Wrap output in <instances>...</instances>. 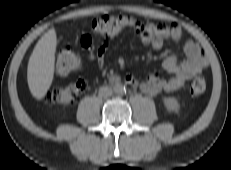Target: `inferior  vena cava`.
<instances>
[{
    "mask_svg": "<svg viewBox=\"0 0 231 170\" xmlns=\"http://www.w3.org/2000/svg\"><path fill=\"white\" fill-rule=\"evenodd\" d=\"M112 95V88L109 86H103L99 89V96L100 97H110Z\"/></svg>",
    "mask_w": 231,
    "mask_h": 170,
    "instance_id": "inferior-vena-cava-1",
    "label": "inferior vena cava"
}]
</instances>
